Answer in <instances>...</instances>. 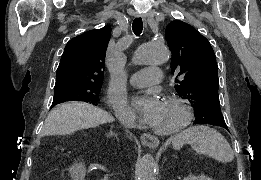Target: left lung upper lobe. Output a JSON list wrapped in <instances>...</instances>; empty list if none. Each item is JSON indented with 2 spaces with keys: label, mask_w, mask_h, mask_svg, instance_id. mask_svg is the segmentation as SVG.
<instances>
[{
  "label": "left lung upper lobe",
  "mask_w": 261,
  "mask_h": 180,
  "mask_svg": "<svg viewBox=\"0 0 261 180\" xmlns=\"http://www.w3.org/2000/svg\"><path fill=\"white\" fill-rule=\"evenodd\" d=\"M177 93L193 105L196 124L226 125L220 110L218 66L209 41L191 25L173 21L165 29Z\"/></svg>",
  "instance_id": "obj_1"
}]
</instances>
